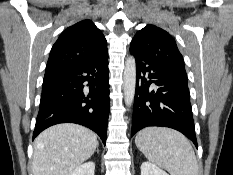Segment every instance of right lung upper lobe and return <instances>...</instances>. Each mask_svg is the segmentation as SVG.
Wrapping results in <instances>:
<instances>
[{
	"label": "right lung upper lobe",
	"instance_id": "cb5924a9",
	"mask_svg": "<svg viewBox=\"0 0 233 175\" xmlns=\"http://www.w3.org/2000/svg\"><path fill=\"white\" fill-rule=\"evenodd\" d=\"M107 53V41L90 20L80 21L64 30L53 45L45 76L72 68Z\"/></svg>",
	"mask_w": 233,
	"mask_h": 175
}]
</instances>
